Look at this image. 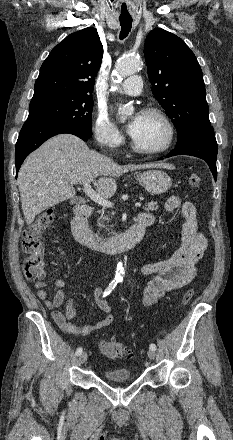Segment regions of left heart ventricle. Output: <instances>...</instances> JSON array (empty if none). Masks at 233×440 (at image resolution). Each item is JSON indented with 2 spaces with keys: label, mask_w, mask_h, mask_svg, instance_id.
I'll return each instance as SVG.
<instances>
[{
  "label": "left heart ventricle",
  "mask_w": 233,
  "mask_h": 440,
  "mask_svg": "<svg viewBox=\"0 0 233 440\" xmlns=\"http://www.w3.org/2000/svg\"><path fill=\"white\" fill-rule=\"evenodd\" d=\"M132 137L142 148L157 149L165 144L168 137V130L158 116L140 114Z\"/></svg>",
  "instance_id": "1"
}]
</instances>
